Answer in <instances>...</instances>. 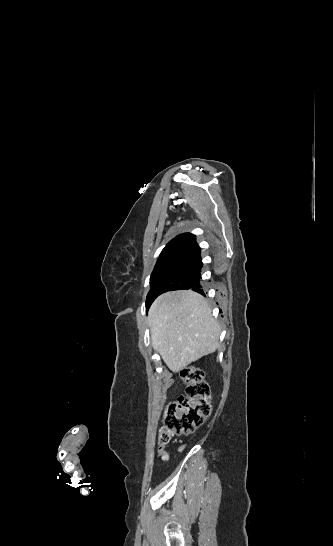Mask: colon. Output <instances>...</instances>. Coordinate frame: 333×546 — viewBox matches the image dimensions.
I'll list each match as a JSON object with an SVG mask.
<instances>
[{"mask_svg": "<svg viewBox=\"0 0 333 546\" xmlns=\"http://www.w3.org/2000/svg\"><path fill=\"white\" fill-rule=\"evenodd\" d=\"M186 394L171 402L166 410L164 426L159 434L160 445H166L171 435H187L199 428L210 415V387L202 369L187 366L181 370Z\"/></svg>", "mask_w": 333, "mask_h": 546, "instance_id": "colon-1", "label": "colon"}]
</instances>
